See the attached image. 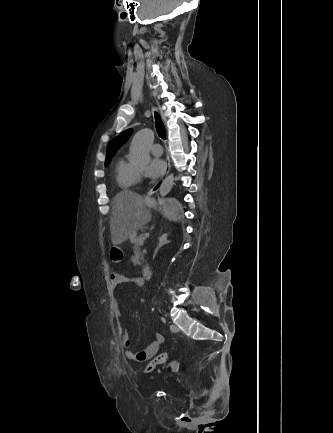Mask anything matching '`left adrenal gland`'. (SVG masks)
Masks as SVG:
<instances>
[{"instance_id": "1", "label": "left adrenal gland", "mask_w": 333, "mask_h": 433, "mask_svg": "<svg viewBox=\"0 0 333 433\" xmlns=\"http://www.w3.org/2000/svg\"><path fill=\"white\" fill-rule=\"evenodd\" d=\"M167 237H168V234L166 233V234H163L162 236H160V237L158 238V244H157V247H156V249H155L154 255L157 254L158 250H159L162 246H164V245L170 243V241L167 240Z\"/></svg>"}]
</instances>
